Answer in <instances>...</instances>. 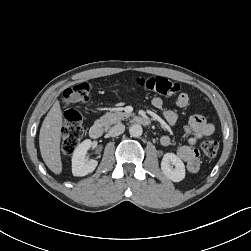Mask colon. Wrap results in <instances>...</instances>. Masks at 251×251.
Here are the masks:
<instances>
[{
  "instance_id": "5ec220e1",
  "label": "colon",
  "mask_w": 251,
  "mask_h": 251,
  "mask_svg": "<svg viewBox=\"0 0 251 251\" xmlns=\"http://www.w3.org/2000/svg\"><path fill=\"white\" fill-rule=\"evenodd\" d=\"M136 84L148 91L163 95L173 96L180 90V84L166 77L154 76L149 78H137ZM91 94V85L83 82L67 88L63 93V102L66 106L85 103L89 100ZM84 135V127L80 113L67 108L64 112V124L62 128L61 149L64 155H71ZM202 151L207 159H213L219 151V142L217 139L209 138L202 144Z\"/></svg>"
}]
</instances>
